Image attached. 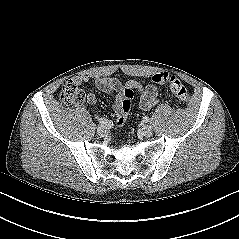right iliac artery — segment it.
Listing matches in <instances>:
<instances>
[{
	"label": "right iliac artery",
	"mask_w": 239,
	"mask_h": 239,
	"mask_svg": "<svg viewBox=\"0 0 239 239\" xmlns=\"http://www.w3.org/2000/svg\"><path fill=\"white\" fill-rule=\"evenodd\" d=\"M99 123H100L101 125H107V124H108V120L105 119V118H101V119H99Z\"/></svg>",
	"instance_id": "1"
}]
</instances>
